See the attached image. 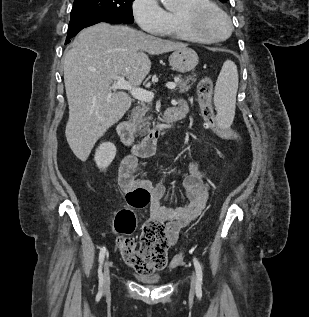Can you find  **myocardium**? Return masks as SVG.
<instances>
[{
  "mask_svg": "<svg viewBox=\"0 0 309 317\" xmlns=\"http://www.w3.org/2000/svg\"><path fill=\"white\" fill-rule=\"evenodd\" d=\"M217 15L223 19L226 25V32L223 35H214L203 32L199 29V22L206 15ZM178 22L183 31L193 39L205 42L215 43L227 39L232 32V23L225 11L214 3H198L193 5L183 6L178 12Z\"/></svg>",
  "mask_w": 309,
  "mask_h": 317,
  "instance_id": "1",
  "label": "myocardium"
}]
</instances>
